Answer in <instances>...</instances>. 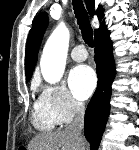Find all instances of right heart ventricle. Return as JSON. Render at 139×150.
Here are the masks:
<instances>
[{
	"label": "right heart ventricle",
	"mask_w": 139,
	"mask_h": 150,
	"mask_svg": "<svg viewBox=\"0 0 139 150\" xmlns=\"http://www.w3.org/2000/svg\"><path fill=\"white\" fill-rule=\"evenodd\" d=\"M32 124L39 131H51L59 121L47 101L40 95L33 105Z\"/></svg>",
	"instance_id": "1"
}]
</instances>
